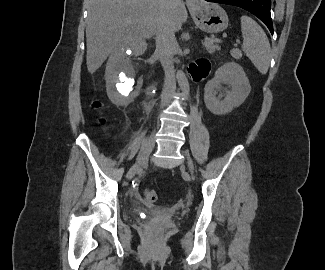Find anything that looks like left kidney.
I'll return each mask as SVG.
<instances>
[{
	"mask_svg": "<svg viewBox=\"0 0 325 270\" xmlns=\"http://www.w3.org/2000/svg\"><path fill=\"white\" fill-rule=\"evenodd\" d=\"M221 84L229 85L230 90L216 97ZM250 91L251 86L243 68L235 62H229L218 68L214 79L206 84L205 105L213 114L225 115L240 106Z\"/></svg>",
	"mask_w": 325,
	"mask_h": 270,
	"instance_id": "1",
	"label": "left kidney"
}]
</instances>
